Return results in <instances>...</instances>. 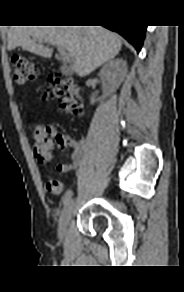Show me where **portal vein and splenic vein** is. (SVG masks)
<instances>
[{
    "instance_id": "obj_1",
    "label": "portal vein and splenic vein",
    "mask_w": 184,
    "mask_h": 292,
    "mask_svg": "<svg viewBox=\"0 0 184 292\" xmlns=\"http://www.w3.org/2000/svg\"><path fill=\"white\" fill-rule=\"evenodd\" d=\"M58 51L60 53V56L62 58V60L66 63L71 62L72 58L71 55L69 53H67L63 48H58Z\"/></svg>"
}]
</instances>
